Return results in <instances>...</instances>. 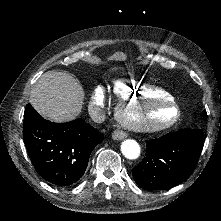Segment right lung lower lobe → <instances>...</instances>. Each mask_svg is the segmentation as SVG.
Returning <instances> with one entry per match:
<instances>
[{"label": "right lung lower lobe", "mask_w": 221, "mask_h": 221, "mask_svg": "<svg viewBox=\"0 0 221 221\" xmlns=\"http://www.w3.org/2000/svg\"><path fill=\"white\" fill-rule=\"evenodd\" d=\"M23 138L37 173L59 186L71 185L83 176L92 150L103 140L84 121L50 122L30 104L25 108Z\"/></svg>", "instance_id": "98d812e1"}]
</instances>
